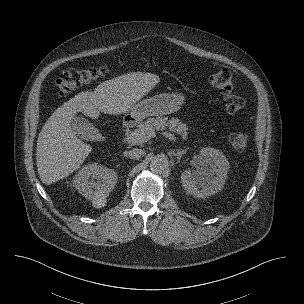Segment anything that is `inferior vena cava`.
<instances>
[{
  "mask_svg": "<svg viewBox=\"0 0 304 304\" xmlns=\"http://www.w3.org/2000/svg\"><path fill=\"white\" fill-rule=\"evenodd\" d=\"M144 151L142 149H132L124 152V156L130 159H139L143 155Z\"/></svg>",
  "mask_w": 304,
  "mask_h": 304,
  "instance_id": "obj_1",
  "label": "inferior vena cava"
}]
</instances>
